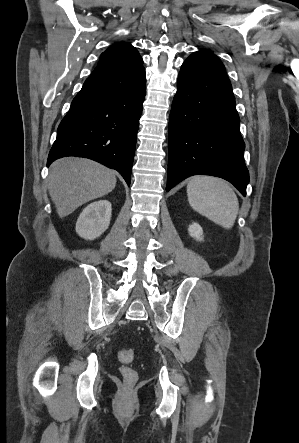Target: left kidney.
Masks as SVG:
<instances>
[{"mask_svg": "<svg viewBox=\"0 0 299 443\" xmlns=\"http://www.w3.org/2000/svg\"><path fill=\"white\" fill-rule=\"evenodd\" d=\"M188 231L191 237L199 241L203 240V230L199 224L197 223L191 224L188 228Z\"/></svg>", "mask_w": 299, "mask_h": 443, "instance_id": "left-kidney-1", "label": "left kidney"}]
</instances>
